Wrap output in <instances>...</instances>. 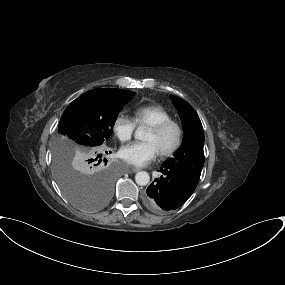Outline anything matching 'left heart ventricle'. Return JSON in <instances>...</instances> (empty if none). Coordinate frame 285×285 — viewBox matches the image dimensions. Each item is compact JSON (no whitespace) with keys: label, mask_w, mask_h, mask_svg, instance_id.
Wrapping results in <instances>:
<instances>
[{"label":"left heart ventricle","mask_w":285,"mask_h":285,"mask_svg":"<svg viewBox=\"0 0 285 285\" xmlns=\"http://www.w3.org/2000/svg\"><path fill=\"white\" fill-rule=\"evenodd\" d=\"M176 135L177 134L174 127H170L160 134H156L151 129H149L144 140L154 143L158 152H160L168 149L174 144Z\"/></svg>","instance_id":"obj_1"}]
</instances>
